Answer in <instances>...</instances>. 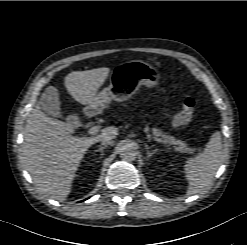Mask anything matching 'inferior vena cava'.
Instances as JSON below:
<instances>
[{
    "mask_svg": "<svg viewBox=\"0 0 247 245\" xmlns=\"http://www.w3.org/2000/svg\"><path fill=\"white\" fill-rule=\"evenodd\" d=\"M101 142H102L103 145H106V146L107 145H113V141L110 138H104V139L101 140Z\"/></svg>",
    "mask_w": 247,
    "mask_h": 245,
    "instance_id": "inferior-vena-cava-1",
    "label": "inferior vena cava"
}]
</instances>
